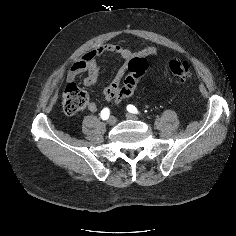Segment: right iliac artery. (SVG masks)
Returning a JSON list of instances; mask_svg holds the SVG:
<instances>
[{
    "instance_id": "right-iliac-artery-1",
    "label": "right iliac artery",
    "mask_w": 236,
    "mask_h": 236,
    "mask_svg": "<svg viewBox=\"0 0 236 236\" xmlns=\"http://www.w3.org/2000/svg\"><path fill=\"white\" fill-rule=\"evenodd\" d=\"M109 115H110L109 108H104L100 113V116L103 120H107L109 118Z\"/></svg>"
}]
</instances>
